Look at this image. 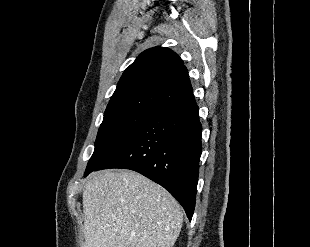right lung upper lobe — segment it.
Segmentation results:
<instances>
[{"mask_svg": "<svg viewBox=\"0 0 310 247\" xmlns=\"http://www.w3.org/2000/svg\"><path fill=\"white\" fill-rule=\"evenodd\" d=\"M191 95L183 61L172 50L155 47L141 53L124 71L105 113L136 106L161 111Z\"/></svg>", "mask_w": 310, "mask_h": 247, "instance_id": "obj_1", "label": "right lung upper lobe"}]
</instances>
